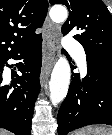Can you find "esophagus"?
<instances>
[{
    "mask_svg": "<svg viewBox=\"0 0 112 135\" xmlns=\"http://www.w3.org/2000/svg\"><path fill=\"white\" fill-rule=\"evenodd\" d=\"M58 32V27L51 22L49 17H47L44 24L45 45L40 74V83L42 86L48 78L59 52V46L56 39Z\"/></svg>",
    "mask_w": 112,
    "mask_h": 135,
    "instance_id": "obj_1",
    "label": "esophagus"
}]
</instances>
